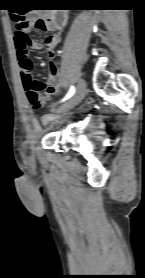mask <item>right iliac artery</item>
I'll return each instance as SVG.
<instances>
[{"mask_svg": "<svg viewBox=\"0 0 145 278\" xmlns=\"http://www.w3.org/2000/svg\"><path fill=\"white\" fill-rule=\"evenodd\" d=\"M74 93H75V87L71 86L68 94L66 95V97L62 101H65V100L69 99Z\"/></svg>", "mask_w": 145, "mask_h": 278, "instance_id": "1", "label": "right iliac artery"}]
</instances>
